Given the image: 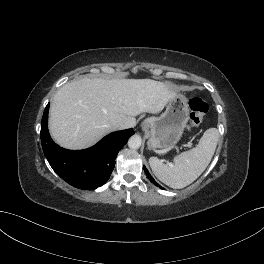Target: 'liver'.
Here are the masks:
<instances>
[{"label": "liver", "instance_id": "1", "mask_svg": "<svg viewBox=\"0 0 264 264\" xmlns=\"http://www.w3.org/2000/svg\"><path fill=\"white\" fill-rule=\"evenodd\" d=\"M177 91L171 84L152 79L84 77L71 81L51 103L50 134L67 149L87 148L115 130V123L132 128L135 116L161 112Z\"/></svg>", "mask_w": 264, "mask_h": 264}]
</instances>
